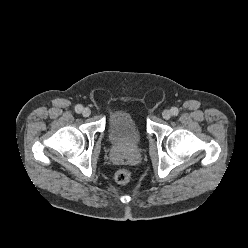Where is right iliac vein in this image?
<instances>
[{
  "label": "right iliac vein",
  "instance_id": "1",
  "mask_svg": "<svg viewBox=\"0 0 248 248\" xmlns=\"http://www.w3.org/2000/svg\"><path fill=\"white\" fill-rule=\"evenodd\" d=\"M90 114H91V110L89 108L86 107L82 110V115L84 117H88Z\"/></svg>",
  "mask_w": 248,
  "mask_h": 248
}]
</instances>
